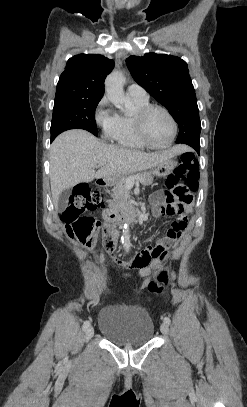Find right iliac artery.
Returning a JSON list of instances; mask_svg holds the SVG:
<instances>
[{
  "label": "right iliac artery",
  "mask_w": 247,
  "mask_h": 407,
  "mask_svg": "<svg viewBox=\"0 0 247 407\" xmlns=\"http://www.w3.org/2000/svg\"><path fill=\"white\" fill-rule=\"evenodd\" d=\"M89 325H90V322H89V321H85V322L83 323V326H82L83 330H86V329L89 327Z\"/></svg>",
  "instance_id": "82829eb1"
}]
</instances>
